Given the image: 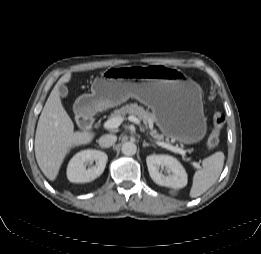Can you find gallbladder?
<instances>
[{
  "instance_id": "gallbladder-1",
  "label": "gallbladder",
  "mask_w": 261,
  "mask_h": 254,
  "mask_svg": "<svg viewBox=\"0 0 261 254\" xmlns=\"http://www.w3.org/2000/svg\"><path fill=\"white\" fill-rule=\"evenodd\" d=\"M59 94L61 97L66 98L68 96V88L64 85L59 87Z\"/></svg>"
}]
</instances>
